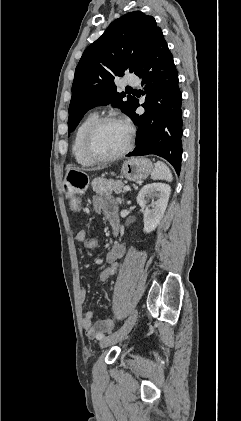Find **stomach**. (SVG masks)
Wrapping results in <instances>:
<instances>
[{
    "label": "stomach",
    "mask_w": 241,
    "mask_h": 421,
    "mask_svg": "<svg viewBox=\"0 0 241 421\" xmlns=\"http://www.w3.org/2000/svg\"><path fill=\"white\" fill-rule=\"evenodd\" d=\"M153 170V164L144 157L130 158L123 162L121 174L130 181L146 179ZM89 176L82 170L69 169L63 182V191L69 200L71 211L78 212L81 209L82 195L89 186Z\"/></svg>",
    "instance_id": "stomach-1"
}]
</instances>
